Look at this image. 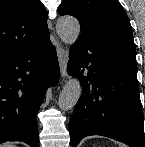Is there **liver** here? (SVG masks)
<instances>
[{
    "instance_id": "obj_1",
    "label": "liver",
    "mask_w": 145,
    "mask_h": 147,
    "mask_svg": "<svg viewBox=\"0 0 145 147\" xmlns=\"http://www.w3.org/2000/svg\"><path fill=\"white\" fill-rule=\"evenodd\" d=\"M0 147H16V146L12 143H6V144L0 145Z\"/></svg>"
}]
</instances>
